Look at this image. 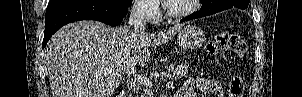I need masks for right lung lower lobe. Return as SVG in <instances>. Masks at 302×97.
<instances>
[{
  "label": "right lung lower lobe",
  "instance_id": "obj_1",
  "mask_svg": "<svg viewBox=\"0 0 302 97\" xmlns=\"http://www.w3.org/2000/svg\"><path fill=\"white\" fill-rule=\"evenodd\" d=\"M128 7L114 0H55L46 10L42 48L62 26L79 20H97L111 26L122 22Z\"/></svg>",
  "mask_w": 302,
  "mask_h": 97
}]
</instances>
